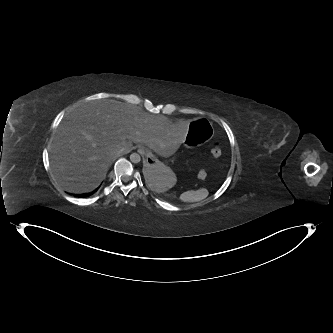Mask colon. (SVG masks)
Returning <instances> with one entry per match:
<instances>
[{"mask_svg": "<svg viewBox=\"0 0 333 333\" xmlns=\"http://www.w3.org/2000/svg\"><path fill=\"white\" fill-rule=\"evenodd\" d=\"M222 154V151H221V148H220V145L219 143H215L211 149V155L213 158L217 159L221 156ZM200 177L201 178H204L205 177V172L204 171H200L199 173Z\"/></svg>", "mask_w": 333, "mask_h": 333, "instance_id": "5ec220e1", "label": "colon"}]
</instances>
